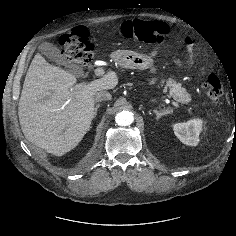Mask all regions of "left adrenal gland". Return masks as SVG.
<instances>
[{"mask_svg":"<svg viewBox=\"0 0 236 236\" xmlns=\"http://www.w3.org/2000/svg\"><path fill=\"white\" fill-rule=\"evenodd\" d=\"M153 112L156 114V119H160L162 116L170 114L172 112V110L170 109H162L161 111L158 110H153Z\"/></svg>","mask_w":236,"mask_h":236,"instance_id":"left-adrenal-gland-1","label":"left adrenal gland"}]
</instances>
